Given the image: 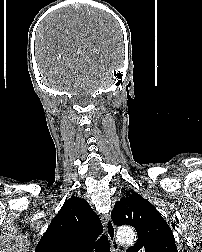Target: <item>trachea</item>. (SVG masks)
<instances>
[{
  "label": "trachea",
  "mask_w": 202,
  "mask_h": 252,
  "mask_svg": "<svg viewBox=\"0 0 202 252\" xmlns=\"http://www.w3.org/2000/svg\"><path fill=\"white\" fill-rule=\"evenodd\" d=\"M95 252H110V244L107 236L102 235L98 239Z\"/></svg>",
  "instance_id": "obj_1"
}]
</instances>
